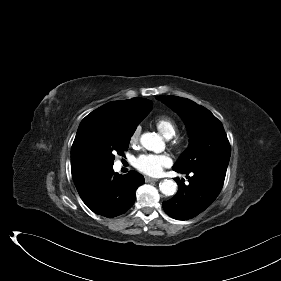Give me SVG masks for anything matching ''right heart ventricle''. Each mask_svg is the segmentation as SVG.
<instances>
[{
  "instance_id": "1",
  "label": "right heart ventricle",
  "mask_w": 281,
  "mask_h": 281,
  "mask_svg": "<svg viewBox=\"0 0 281 281\" xmlns=\"http://www.w3.org/2000/svg\"><path fill=\"white\" fill-rule=\"evenodd\" d=\"M154 123L159 132L166 138H172L177 132V125L169 116H158L155 118Z\"/></svg>"
}]
</instances>
